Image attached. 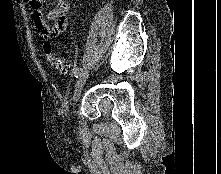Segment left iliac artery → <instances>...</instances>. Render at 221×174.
<instances>
[{"instance_id": "44dca946", "label": "left iliac artery", "mask_w": 221, "mask_h": 174, "mask_svg": "<svg viewBox=\"0 0 221 174\" xmlns=\"http://www.w3.org/2000/svg\"><path fill=\"white\" fill-rule=\"evenodd\" d=\"M81 72H82V68L80 67L76 68L74 71L75 78H78L81 75Z\"/></svg>"}]
</instances>
